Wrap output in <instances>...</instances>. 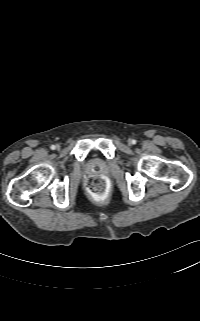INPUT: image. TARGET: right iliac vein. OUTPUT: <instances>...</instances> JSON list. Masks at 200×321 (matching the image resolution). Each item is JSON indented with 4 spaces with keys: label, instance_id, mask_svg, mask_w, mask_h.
<instances>
[{
    "label": "right iliac vein",
    "instance_id": "obj_1",
    "mask_svg": "<svg viewBox=\"0 0 200 321\" xmlns=\"http://www.w3.org/2000/svg\"><path fill=\"white\" fill-rule=\"evenodd\" d=\"M56 149H60V145H56Z\"/></svg>",
    "mask_w": 200,
    "mask_h": 321
}]
</instances>
